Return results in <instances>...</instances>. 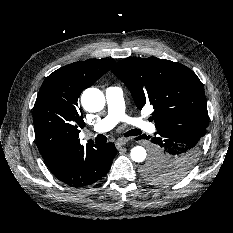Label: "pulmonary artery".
Here are the masks:
<instances>
[{"label":"pulmonary artery","instance_id":"1","mask_svg":"<svg viewBox=\"0 0 233 233\" xmlns=\"http://www.w3.org/2000/svg\"><path fill=\"white\" fill-rule=\"evenodd\" d=\"M105 97L107 102V114L103 119H101L93 126V132H107L119 122H125L134 126L136 129L150 133L156 130L154 124L149 123L141 118H132L126 115L123 91L120 87L110 86L106 88Z\"/></svg>","mask_w":233,"mask_h":233}]
</instances>
